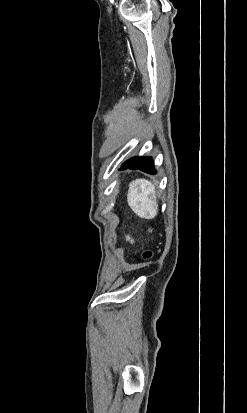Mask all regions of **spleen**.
I'll return each mask as SVG.
<instances>
[{
    "instance_id": "spleen-1",
    "label": "spleen",
    "mask_w": 247,
    "mask_h": 413,
    "mask_svg": "<svg viewBox=\"0 0 247 413\" xmlns=\"http://www.w3.org/2000/svg\"><path fill=\"white\" fill-rule=\"evenodd\" d=\"M151 192H155L154 186L145 178H136V180L129 182L127 202L132 211L139 217H144L149 209L156 207V200L150 198Z\"/></svg>"
}]
</instances>
